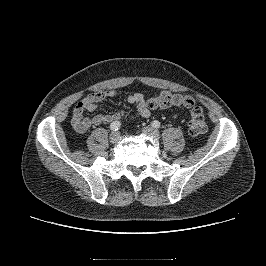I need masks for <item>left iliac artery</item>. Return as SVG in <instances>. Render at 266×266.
Instances as JSON below:
<instances>
[{
  "mask_svg": "<svg viewBox=\"0 0 266 266\" xmlns=\"http://www.w3.org/2000/svg\"><path fill=\"white\" fill-rule=\"evenodd\" d=\"M151 125L154 127V128H159L160 127V122L155 120L151 123Z\"/></svg>",
  "mask_w": 266,
  "mask_h": 266,
  "instance_id": "obj_1",
  "label": "left iliac artery"
}]
</instances>
